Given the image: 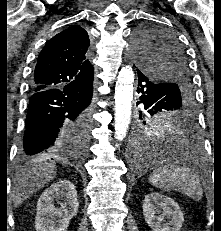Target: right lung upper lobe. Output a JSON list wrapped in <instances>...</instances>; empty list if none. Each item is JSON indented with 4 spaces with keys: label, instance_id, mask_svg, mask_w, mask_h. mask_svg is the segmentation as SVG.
Instances as JSON below:
<instances>
[{
    "label": "right lung upper lobe",
    "instance_id": "right-lung-upper-lobe-1",
    "mask_svg": "<svg viewBox=\"0 0 221 231\" xmlns=\"http://www.w3.org/2000/svg\"><path fill=\"white\" fill-rule=\"evenodd\" d=\"M89 47L88 34L80 26H72L55 35L39 54L31 91L91 82L94 68Z\"/></svg>",
    "mask_w": 221,
    "mask_h": 231
}]
</instances>
